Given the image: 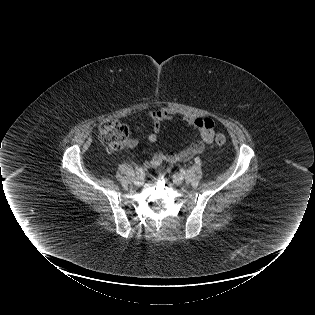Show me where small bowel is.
<instances>
[{"mask_svg": "<svg viewBox=\"0 0 315 315\" xmlns=\"http://www.w3.org/2000/svg\"><path fill=\"white\" fill-rule=\"evenodd\" d=\"M147 116L153 125V130L148 135V141L150 143L156 144L159 142L158 135L161 130L162 123L165 121H173L177 114L170 108H161L156 111L148 112ZM183 121L195 129L198 140L178 153L157 150L150 160L144 162L143 167L145 169L157 167L164 162L176 163L191 160L192 158L202 154L206 146L213 142L214 122L211 119H201L187 115L183 117ZM137 145L138 140L136 138H130L127 142V146L130 148H133Z\"/></svg>", "mask_w": 315, "mask_h": 315, "instance_id": "obj_1", "label": "small bowel"}]
</instances>
